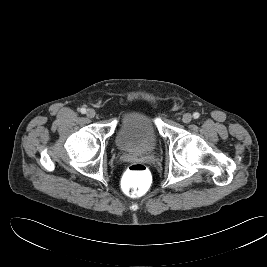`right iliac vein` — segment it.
<instances>
[{"mask_svg":"<svg viewBox=\"0 0 267 267\" xmlns=\"http://www.w3.org/2000/svg\"><path fill=\"white\" fill-rule=\"evenodd\" d=\"M86 115H87L88 118H94L95 115H96V112H95L94 109L89 108V109L87 110V112H86Z\"/></svg>","mask_w":267,"mask_h":267,"instance_id":"63e3f726","label":"right iliac vein"}]
</instances>
